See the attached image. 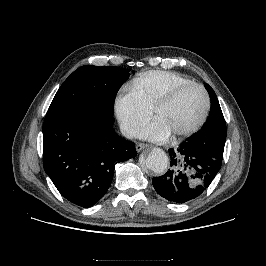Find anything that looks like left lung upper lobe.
<instances>
[{"label":"left lung upper lobe","mask_w":266,"mask_h":266,"mask_svg":"<svg viewBox=\"0 0 266 266\" xmlns=\"http://www.w3.org/2000/svg\"><path fill=\"white\" fill-rule=\"evenodd\" d=\"M211 99V110L203 129L186 143L189 147L201 150L222 160L226 141V123L217 96L213 89L204 84Z\"/></svg>","instance_id":"5c2ea615"}]
</instances>
